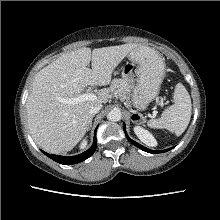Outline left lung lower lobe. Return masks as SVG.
<instances>
[{
  "label": "left lung lower lobe",
  "instance_id": "1",
  "mask_svg": "<svg viewBox=\"0 0 220 220\" xmlns=\"http://www.w3.org/2000/svg\"><path fill=\"white\" fill-rule=\"evenodd\" d=\"M123 129H124V132H125V135L126 137L128 138V140L133 144L135 145L136 147H138L139 149L143 150V151H146V152H149V153H152V154H155V153H163V152H166V151H169L171 150L172 148H169V149H166V150H162V151H155V150H150L142 145H140L139 143L133 141L132 139L129 138V136L127 135L126 133V128H125V124L123 125Z\"/></svg>",
  "mask_w": 220,
  "mask_h": 220
}]
</instances>
